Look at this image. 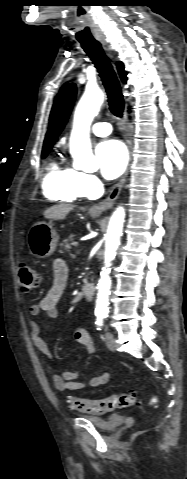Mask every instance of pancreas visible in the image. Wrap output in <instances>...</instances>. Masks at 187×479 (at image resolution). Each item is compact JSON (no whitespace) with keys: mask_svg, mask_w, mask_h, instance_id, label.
I'll return each mask as SVG.
<instances>
[{"mask_svg":"<svg viewBox=\"0 0 187 479\" xmlns=\"http://www.w3.org/2000/svg\"><path fill=\"white\" fill-rule=\"evenodd\" d=\"M74 235H70L68 238H65L62 243L60 244V246L62 248H65L66 250H69L71 248V245H74V243H77V242H74V239H73ZM71 242V243H69Z\"/></svg>","mask_w":187,"mask_h":479,"instance_id":"obj_1","label":"pancreas"}]
</instances>
